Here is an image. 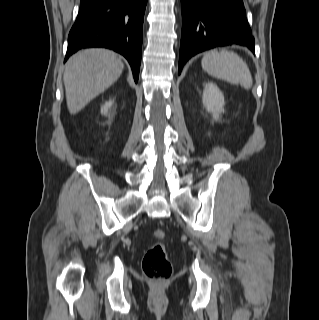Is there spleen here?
<instances>
[{
	"label": "spleen",
	"mask_w": 319,
	"mask_h": 320,
	"mask_svg": "<svg viewBox=\"0 0 319 320\" xmlns=\"http://www.w3.org/2000/svg\"><path fill=\"white\" fill-rule=\"evenodd\" d=\"M202 68L213 77L223 79L232 84H240L250 89L253 84L251 72L236 53L226 50H212L204 54Z\"/></svg>",
	"instance_id": "3e777b00"
}]
</instances>
